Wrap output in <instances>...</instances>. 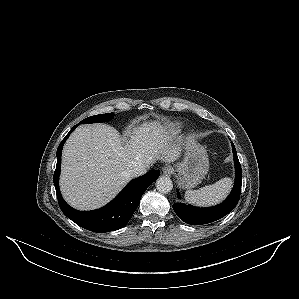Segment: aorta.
<instances>
[{"instance_id":"aorta-1","label":"aorta","mask_w":299,"mask_h":299,"mask_svg":"<svg viewBox=\"0 0 299 299\" xmlns=\"http://www.w3.org/2000/svg\"><path fill=\"white\" fill-rule=\"evenodd\" d=\"M156 188L160 193H169L173 188L172 180L169 177L161 176L156 181Z\"/></svg>"}]
</instances>
